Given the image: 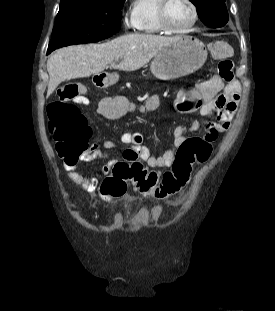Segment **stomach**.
Returning a JSON list of instances; mask_svg holds the SVG:
<instances>
[{"label": "stomach", "mask_w": 275, "mask_h": 311, "mask_svg": "<svg viewBox=\"0 0 275 311\" xmlns=\"http://www.w3.org/2000/svg\"><path fill=\"white\" fill-rule=\"evenodd\" d=\"M207 59L205 45L197 38L186 36L162 49L150 65L152 74L160 80L177 79L199 70ZM109 83L116 82L117 77L107 75Z\"/></svg>", "instance_id": "obj_1"}]
</instances>
